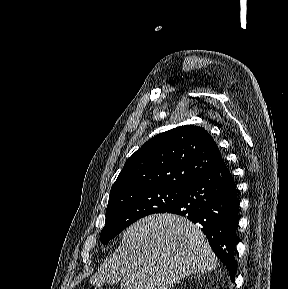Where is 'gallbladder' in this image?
Segmentation results:
<instances>
[{
  "instance_id": "1",
  "label": "gallbladder",
  "mask_w": 288,
  "mask_h": 289,
  "mask_svg": "<svg viewBox=\"0 0 288 289\" xmlns=\"http://www.w3.org/2000/svg\"><path fill=\"white\" fill-rule=\"evenodd\" d=\"M122 276L119 272L115 273V275L109 281V284H118L121 281Z\"/></svg>"
}]
</instances>
